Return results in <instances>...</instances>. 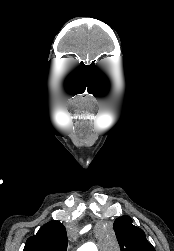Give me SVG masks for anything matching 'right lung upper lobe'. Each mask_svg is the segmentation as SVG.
Here are the masks:
<instances>
[{
	"label": "right lung upper lobe",
	"instance_id": "1",
	"mask_svg": "<svg viewBox=\"0 0 174 251\" xmlns=\"http://www.w3.org/2000/svg\"><path fill=\"white\" fill-rule=\"evenodd\" d=\"M66 229L59 221L43 225L36 235L29 237L23 251H66Z\"/></svg>",
	"mask_w": 174,
	"mask_h": 251
}]
</instances>
